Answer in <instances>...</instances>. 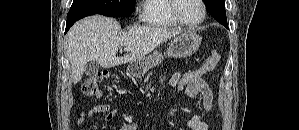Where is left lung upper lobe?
<instances>
[{
    "label": "left lung upper lobe",
    "mask_w": 299,
    "mask_h": 130,
    "mask_svg": "<svg viewBox=\"0 0 299 130\" xmlns=\"http://www.w3.org/2000/svg\"><path fill=\"white\" fill-rule=\"evenodd\" d=\"M208 12L220 23L227 22L224 0H203Z\"/></svg>",
    "instance_id": "left-lung-upper-lobe-1"
}]
</instances>
